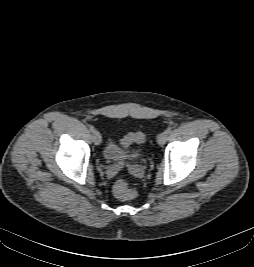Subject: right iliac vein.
<instances>
[{"mask_svg": "<svg viewBox=\"0 0 254 267\" xmlns=\"http://www.w3.org/2000/svg\"><path fill=\"white\" fill-rule=\"evenodd\" d=\"M101 141H102L101 134H100L97 130H95V131L93 132V142H94L96 145H100Z\"/></svg>", "mask_w": 254, "mask_h": 267, "instance_id": "1", "label": "right iliac vein"}]
</instances>
